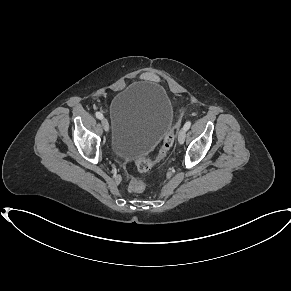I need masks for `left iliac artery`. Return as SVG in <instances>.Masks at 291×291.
<instances>
[{
	"label": "left iliac artery",
	"instance_id": "1",
	"mask_svg": "<svg viewBox=\"0 0 291 291\" xmlns=\"http://www.w3.org/2000/svg\"><path fill=\"white\" fill-rule=\"evenodd\" d=\"M191 126V121H187L184 125V129L187 131Z\"/></svg>",
	"mask_w": 291,
	"mask_h": 291
}]
</instances>
